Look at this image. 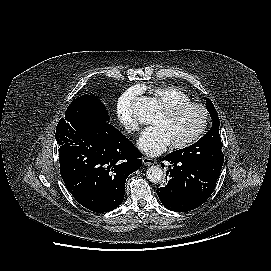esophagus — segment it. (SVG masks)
I'll return each mask as SVG.
<instances>
[{
	"mask_svg": "<svg viewBox=\"0 0 271 271\" xmlns=\"http://www.w3.org/2000/svg\"><path fill=\"white\" fill-rule=\"evenodd\" d=\"M142 162L145 166H150V165H154L156 164V160L155 159H151L149 157H143L142 158Z\"/></svg>",
	"mask_w": 271,
	"mask_h": 271,
	"instance_id": "obj_1",
	"label": "esophagus"
}]
</instances>
